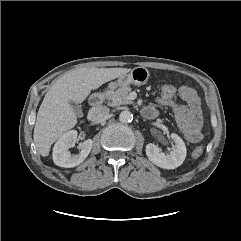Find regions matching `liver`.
I'll use <instances>...</instances> for the list:
<instances>
[{"label":"liver","mask_w":241,"mask_h":241,"mask_svg":"<svg viewBox=\"0 0 241 241\" xmlns=\"http://www.w3.org/2000/svg\"><path fill=\"white\" fill-rule=\"evenodd\" d=\"M130 71L128 68H81L59 78L46 93L38 110L33 139L38 152L46 157L51 145L77 124L70 101L82 103L91 90Z\"/></svg>","instance_id":"liver-1"}]
</instances>
